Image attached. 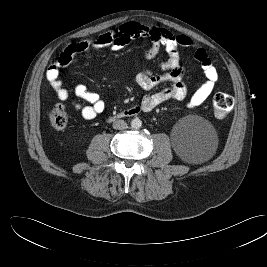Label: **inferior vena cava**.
I'll return each mask as SVG.
<instances>
[{
    "label": "inferior vena cava",
    "instance_id": "inferior-vena-cava-1",
    "mask_svg": "<svg viewBox=\"0 0 267 267\" xmlns=\"http://www.w3.org/2000/svg\"><path fill=\"white\" fill-rule=\"evenodd\" d=\"M113 128L116 130H123L127 128V123L124 120H116L113 123Z\"/></svg>",
    "mask_w": 267,
    "mask_h": 267
}]
</instances>
